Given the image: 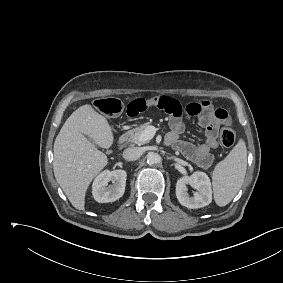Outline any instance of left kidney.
I'll list each match as a JSON object with an SVG mask.
<instances>
[{"label":"left kidney","instance_id":"5707ae66","mask_svg":"<svg viewBox=\"0 0 283 283\" xmlns=\"http://www.w3.org/2000/svg\"><path fill=\"white\" fill-rule=\"evenodd\" d=\"M187 184H190L197 190L194 196L188 194ZM176 196L179 203L189 209H197L209 205L212 201V189L208 175L204 172L196 171L189 177L179 178L176 183Z\"/></svg>","mask_w":283,"mask_h":283}]
</instances>
